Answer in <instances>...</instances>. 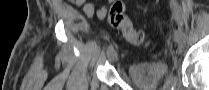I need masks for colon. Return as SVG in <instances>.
<instances>
[{
    "label": "colon",
    "instance_id": "5ec220e1",
    "mask_svg": "<svg viewBox=\"0 0 209 90\" xmlns=\"http://www.w3.org/2000/svg\"><path fill=\"white\" fill-rule=\"evenodd\" d=\"M110 24L118 29L123 38L134 46H142L146 43L145 35L137 30L127 15L124 13V4L122 1L114 2L108 12Z\"/></svg>",
    "mask_w": 209,
    "mask_h": 90
}]
</instances>
